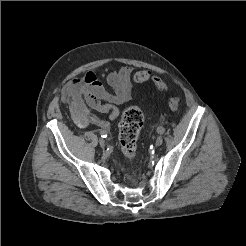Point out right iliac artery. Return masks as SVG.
Masks as SVG:
<instances>
[{
    "label": "right iliac artery",
    "mask_w": 246,
    "mask_h": 246,
    "mask_svg": "<svg viewBox=\"0 0 246 246\" xmlns=\"http://www.w3.org/2000/svg\"><path fill=\"white\" fill-rule=\"evenodd\" d=\"M100 135H101L102 138H106L107 137V132L102 130V131H100Z\"/></svg>",
    "instance_id": "right-iliac-artery-1"
}]
</instances>
